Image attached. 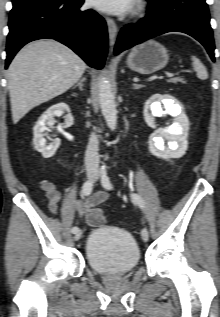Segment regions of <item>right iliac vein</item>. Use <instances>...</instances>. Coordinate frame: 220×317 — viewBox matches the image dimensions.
I'll return each mask as SVG.
<instances>
[{
    "label": "right iliac vein",
    "instance_id": "63e3f726",
    "mask_svg": "<svg viewBox=\"0 0 220 317\" xmlns=\"http://www.w3.org/2000/svg\"><path fill=\"white\" fill-rule=\"evenodd\" d=\"M89 178H92V175H89ZM82 236V230H78L74 235V240L78 241Z\"/></svg>",
    "mask_w": 220,
    "mask_h": 317
}]
</instances>
